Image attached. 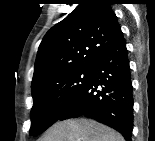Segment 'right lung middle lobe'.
Returning a JSON list of instances; mask_svg holds the SVG:
<instances>
[{
    "label": "right lung middle lobe",
    "instance_id": "1",
    "mask_svg": "<svg viewBox=\"0 0 155 141\" xmlns=\"http://www.w3.org/2000/svg\"><path fill=\"white\" fill-rule=\"evenodd\" d=\"M93 67L76 68L49 77L32 88L30 135L44 132L80 95L91 78Z\"/></svg>",
    "mask_w": 155,
    "mask_h": 141
}]
</instances>
